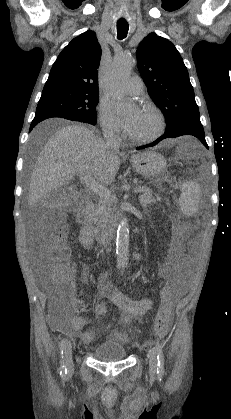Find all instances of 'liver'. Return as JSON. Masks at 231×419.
<instances>
[{"mask_svg": "<svg viewBox=\"0 0 231 419\" xmlns=\"http://www.w3.org/2000/svg\"><path fill=\"white\" fill-rule=\"evenodd\" d=\"M120 153L83 125H66L47 140L41 150L29 185L28 204L34 205L74 179L89 173L101 185L111 184L119 171Z\"/></svg>", "mask_w": 231, "mask_h": 419, "instance_id": "1", "label": "liver"}]
</instances>
